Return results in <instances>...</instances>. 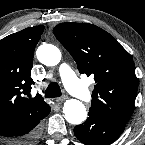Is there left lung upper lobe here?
Segmentation results:
<instances>
[{"label":"left lung upper lobe","mask_w":145,"mask_h":145,"mask_svg":"<svg viewBox=\"0 0 145 145\" xmlns=\"http://www.w3.org/2000/svg\"><path fill=\"white\" fill-rule=\"evenodd\" d=\"M54 34L69 51L79 72L96 82L89 112L125 125L138 89L130 54L106 31L87 23H61Z\"/></svg>","instance_id":"obj_1"}]
</instances>
